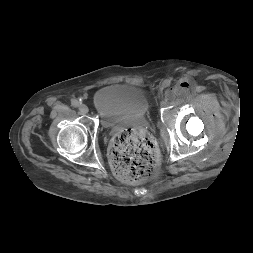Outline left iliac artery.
I'll return each mask as SVG.
<instances>
[{"mask_svg": "<svg viewBox=\"0 0 253 253\" xmlns=\"http://www.w3.org/2000/svg\"><path fill=\"white\" fill-rule=\"evenodd\" d=\"M170 84H171V80H170V79H165V80L163 81L162 86H163V87H168V86H170Z\"/></svg>", "mask_w": 253, "mask_h": 253, "instance_id": "44dca946", "label": "left iliac artery"}]
</instances>
